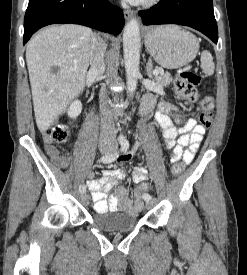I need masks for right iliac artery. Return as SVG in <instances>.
Returning a JSON list of instances; mask_svg holds the SVG:
<instances>
[{"label":"right iliac artery","instance_id":"82829eb1","mask_svg":"<svg viewBox=\"0 0 247 275\" xmlns=\"http://www.w3.org/2000/svg\"><path fill=\"white\" fill-rule=\"evenodd\" d=\"M117 157H118V153H117V152H114V153L106 154V155L102 156L101 161H102L103 163H111V162H113ZM85 191H86V186H85V185H81V186L79 187V192H80V193H84Z\"/></svg>","mask_w":247,"mask_h":275}]
</instances>
